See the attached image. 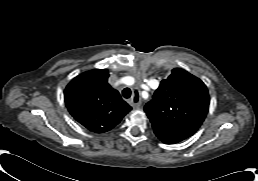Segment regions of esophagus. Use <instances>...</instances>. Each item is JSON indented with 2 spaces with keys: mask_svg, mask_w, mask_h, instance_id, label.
I'll list each match as a JSON object with an SVG mask.
<instances>
[{
  "mask_svg": "<svg viewBox=\"0 0 258 181\" xmlns=\"http://www.w3.org/2000/svg\"><path fill=\"white\" fill-rule=\"evenodd\" d=\"M130 103L133 108H139L141 106V99H140V95L138 92L134 93Z\"/></svg>",
  "mask_w": 258,
  "mask_h": 181,
  "instance_id": "esophagus-1",
  "label": "esophagus"
}]
</instances>
